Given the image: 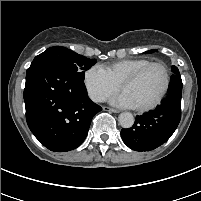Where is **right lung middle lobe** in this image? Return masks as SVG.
I'll return each instance as SVG.
<instances>
[{
    "instance_id": "right-lung-middle-lobe-1",
    "label": "right lung middle lobe",
    "mask_w": 201,
    "mask_h": 201,
    "mask_svg": "<svg viewBox=\"0 0 201 201\" xmlns=\"http://www.w3.org/2000/svg\"><path fill=\"white\" fill-rule=\"evenodd\" d=\"M50 62L65 66L77 73V76L84 80L85 71L96 63L95 59H87L86 57L75 53L74 51L61 46L48 48L46 51L36 56L32 62L41 63Z\"/></svg>"
}]
</instances>
